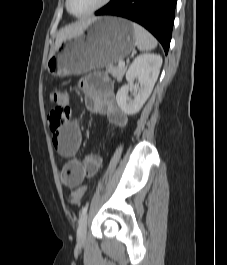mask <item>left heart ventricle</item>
I'll list each match as a JSON object with an SVG mask.
<instances>
[{"label": "left heart ventricle", "instance_id": "left-heart-ventricle-1", "mask_svg": "<svg viewBox=\"0 0 227 265\" xmlns=\"http://www.w3.org/2000/svg\"><path fill=\"white\" fill-rule=\"evenodd\" d=\"M101 0H70V10L75 14H82L95 7Z\"/></svg>", "mask_w": 227, "mask_h": 265}]
</instances>
